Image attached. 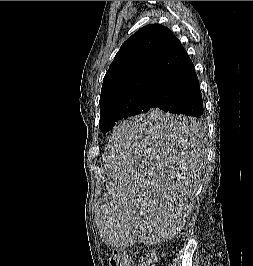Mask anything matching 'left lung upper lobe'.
I'll use <instances>...</instances> for the list:
<instances>
[{
  "label": "left lung upper lobe",
  "instance_id": "1",
  "mask_svg": "<svg viewBox=\"0 0 253 266\" xmlns=\"http://www.w3.org/2000/svg\"><path fill=\"white\" fill-rule=\"evenodd\" d=\"M173 37L167 27L149 24L122 44L103 79L99 101L103 133L119 120L142 113L150 80Z\"/></svg>",
  "mask_w": 253,
  "mask_h": 266
}]
</instances>
